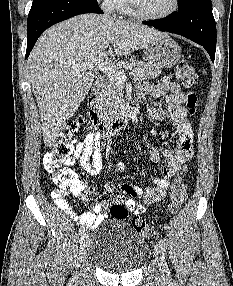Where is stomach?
I'll use <instances>...</instances> for the list:
<instances>
[{"mask_svg":"<svg viewBox=\"0 0 233 286\" xmlns=\"http://www.w3.org/2000/svg\"><path fill=\"white\" fill-rule=\"evenodd\" d=\"M145 55L149 64L159 69L174 66L182 56L180 46L168 35L148 45Z\"/></svg>","mask_w":233,"mask_h":286,"instance_id":"0dacf381","label":"stomach"}]
</instances>
